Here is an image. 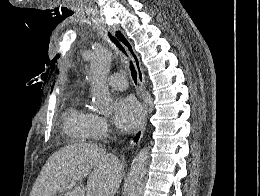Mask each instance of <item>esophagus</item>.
Listing matches in <instances>:
<instances>
[{
    "label": "esophagus",
    "instance_id": "obj_1",
    "mask_svg": "<svg viewBox=\"0 0 260 196\" xmlns=\"http://www.w3.org/2000/svg\"><path fill=\"white\" fill-rule=\"evenodd\" d=\"M120 33H121V36H120L121 43H122L123 47L125 48V50L127 51V53L130 55V57L134 63V66H135V69L137 72L138 83L142 89H145L146 88L145 74H144V71L141 66V61H140L139 55L134 50L133 44L127 38L125 33L123 31H120ZM142 109H143V117H142L141 124H140L139 128L137 129L136 133L134 134V136L131 138L127 149H131L134 146H136L137 144H139L143 137V133L145 131V127L147 124V116H148V105H147V102L145 99V94L142 96Z\"/></svg>",
    "mask_w": 260,
    "mask_h": 196
}]
</instances>
